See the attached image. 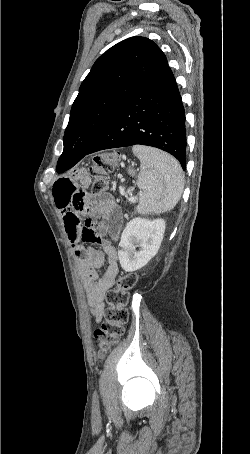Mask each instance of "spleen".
Instances as JSON below:
<instances>
[{
	"mask_svg": "<svg viewBox=\"0 0 250 454\" xmlns=\"http://www.w3.org/2000/svg\"><path fill=\"white\" fill-rule=\"evenodd\" d=\"M132 151L141 162L137 185L142 193L136 211L158 215L172 210L184 189L179 162L171 155L147 146L135 145Z\"/></svg>",
	"mask_w": 250,
	"mask_h": 454,
	"instance_id": "obj_1",
	"label": "spleen"
}]
</instances>
